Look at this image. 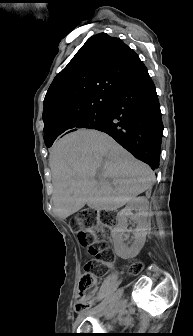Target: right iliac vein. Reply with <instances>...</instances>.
<instances>
[{
	"instance_id": "right-iliac-vein-1",
	"label": "right iliac vein",
	"mask_w": 193,
	"mask_h": 336,
	"mask_svg": "<svg viewBox=\"0 0 193 336\" xmlns=\"http://www.w3.org/2000/svg\"><path fill=\"white\" fill-rule=\"evenodd\" d=\"M122 294H123V290H119V291H118V294H117V296H118V300L116 301V303L114 304V306H113V308H112V314L115 313V311H116V309H117V307H118V305H119V300H120ZM99 308H100V307H95V308H93L92 310H90L89 312L80 314V315L77 317V319H76V321L74 322V324H73V329L75 330V329L77 328V326H78V325L80 324V322L85 318L86 315H89V314H97V313L99 312V310H98Z\"/></svg>"
}]
</instances>
